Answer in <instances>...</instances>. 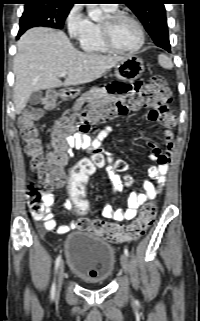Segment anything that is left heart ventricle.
<instances>
[{
    "label": "left heart ventricle",
    "instance_id": "left-heart-ventricle-1",
    "mask_svg": "<svg viewBox=\"0 0 200 321\" xmlns=\"http://www.w3.org/2000/svg\"><path fill=\"white\" fill-rule=\"evenodd\" d=\"M105 21L106 19L103 22ZM112 35L116 46L123 50L133 49L140 40L136 25L127 18H122L114 24Z\"/></svg>",
    "mask_w": 200,
    "mask_h": 321
}]
</instances>
